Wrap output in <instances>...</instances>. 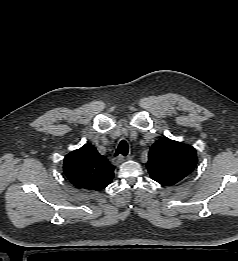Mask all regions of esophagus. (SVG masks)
I'll return each mask as SVG.
<instances>
[{"instance_id":"1","label":"esophagus","mask_w":238,"mask_h":261,"mask_svg":"<svg viewBox=\"0 0 238 261\" xmlns=\"http://www.w3.org/2000/svg\"><path fill=\"white\" fill-rule=\"evenodd\" d=\"M126 158H130V156L124 157L123 155H119L115 158L114 163L118 165L122 163Z\"/></svg>"}]
</instances>
